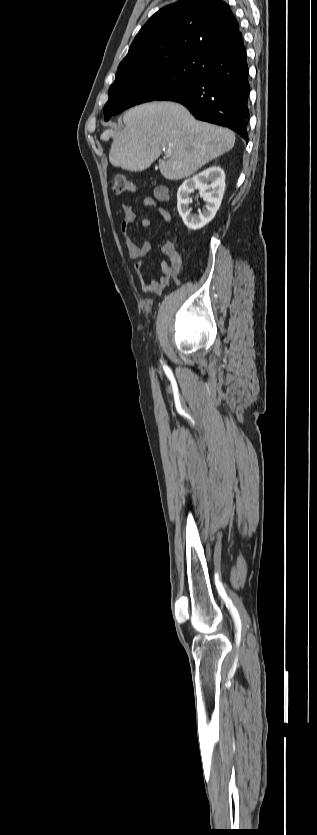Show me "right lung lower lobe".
Instances as JSON below:
<instances>
[{
	"mask_svg": "<svg viewBox=\"0 0 317 835\" xmlns=\"http://www.w3.org/2000/svg\"><path fill=\"white\" fill-rule=\"evenodd\" d=\"M201 77L184 84L157 100L186 106L199 120L228 127L248 142V66L242 34L230 42L196 56Z\"/></svg>",
	"mask_w": 317,
	"mask_h": 835,
	"instance_id": "right-lung-lower-lobe-1",
	"label": "right lung lower lobe"
}]
</instances>
